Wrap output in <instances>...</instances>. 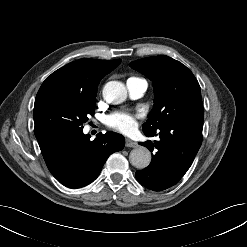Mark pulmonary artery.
Returning a JSON list of instances; mask_svg holds the SVG:
<instances>
[{
	"mask_svg": "<svg viewBox=\"0 0 247 247\" xmlns=\"http://www.w3.org/2000/svg\"><path fill=\"white\" fill-rule=\"evenodd\" d=\"M129 96L138 99L144 95L147 89V82L142 78H129L126 82Z\"/></svg>",
	"mask_w": 247,
	"mask_h": 247,
	"instance_id": "1",
	"label": "pulmonary artery"
}]
</instances>
